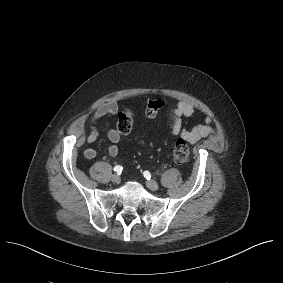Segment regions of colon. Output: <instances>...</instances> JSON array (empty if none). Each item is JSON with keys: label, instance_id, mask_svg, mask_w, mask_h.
I'll return each mask as SVG.
<instances>
[{"label": "colon", "instance_id": "5ec220e1", "mask_svg": "<svg viewBox=\"0 0 283 283\" xmlns=\"http://www.w3.org/2000/svg\"><path fill=\"white\" fill-rule=\"evenodd\" d=\"M164 106L161 99H150L147 101L145 114L148 118L155 117ZM133 112L126 108L118 114L117 131L121 136L128 135L133 127ZM190 155L189 146L183 139H178L173 149V160L177 164H183L188 161Z\"/></svg>", "mask_w": 283, "mask_h": 283}]
</instances>
